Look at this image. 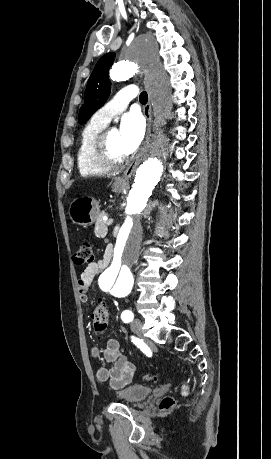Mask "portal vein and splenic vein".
I'll use <instances>...</instances> for the list:
<instances>
[{
    "label": "portal vein and splenic vein",
    "mask_w": 271,
    "mask_h": 459,
    "mask_svg": "<svg viewBox=\"0 0 271 459\" xmlns=\"http://www.w3.org/2000/svg\"><path fill=\"white\" fill-rule=\"evenodd\" d=\"M111 224H112V218H109V222H108L107 225H108V226H111Z\"/></svg>",
    "instance_id": "1"
}]
</instances>
